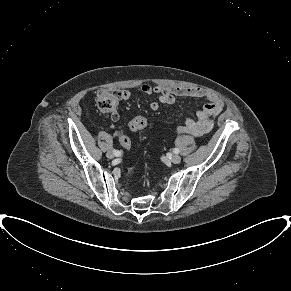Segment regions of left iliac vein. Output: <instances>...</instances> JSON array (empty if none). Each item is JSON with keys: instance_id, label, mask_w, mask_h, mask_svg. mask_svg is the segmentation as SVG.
<instances>
[{"instance_id": "obj_1", "label": "left iliac vein", "mask_w": 291, "mask_h": 291, "mask_svg": "<svg viewBox=\"0 0 291 291\" xmlns=\"http://www.w3.org/2000/svg\"><path fill=\"white\" fill-rule=\"evenodd\" d=\"M170 161L174 164H178L181 162V157L175 154L170 158Z\"/></svg>"}]
</instances>
